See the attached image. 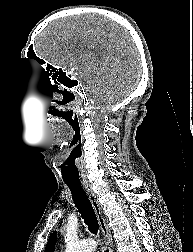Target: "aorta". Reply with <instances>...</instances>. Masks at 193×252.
Wrapping results in <instances>:
<instances>
[{
  "mask_svg": "<svg viewBox=\"0 0 193 252\" xmlns=\"http://www.w3.org/2000/svg\"><path fill=\"white\" fill-rule=\"evenodd\" d=\"M96 246L97 243L93 239L68 240L65 252H93Z\"/></svg>",
  "mask_w": 193,
  "mask_h": 252,
  "instance_id": "1",
  "label": "aorta"
}]
</instances>
